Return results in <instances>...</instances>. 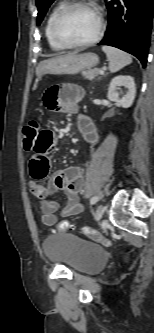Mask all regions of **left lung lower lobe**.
I'll list each match as a JSON object with an SVG mask.
<instances>
[{"instance_id": "obj_1", "label": "left lung lower lobe", "mask_w": 154, "mask_h": 333, "mask_svg": "<svg viewBox=\"0 0 154 333\" xmlns=\"http://www.w3.org/2000/svg\"><path fill=\"white\" fill-rule=\"evenodd\" d=\"M108 28L98 45H109L136 56L146 66L151 40L154 0H111Z\"/></svg>"}]
</instances>
